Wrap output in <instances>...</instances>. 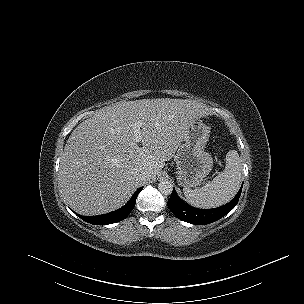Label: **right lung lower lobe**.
Wrapping results in <instances>:
<instances>
[{
    "label": "right lung lower lobe",
    "instance_id": "obj_1",
    "mask_svg": "<svg viewBox=\"0 0 304 304\" xmlns=\"http://www.w3.org/2000/svg\"><path fill=\"white\" fill-rule=\"evenodd\" d=\"M142 189H143V187L139 188L135 192V194L132 196L130 201L124 207L120 208L117 211H114L112 213H108L105 215H101V216H95V217H85V216H81V215H78V216L82 220H84L88 223H91V224H95V225H107V224L119 222V221L125 219L131 213V211L133 210V208L135 206L136 198Z\"/></svg>",
    "mask_w": 304,
    "mask_h": 304
}]
</instances>
